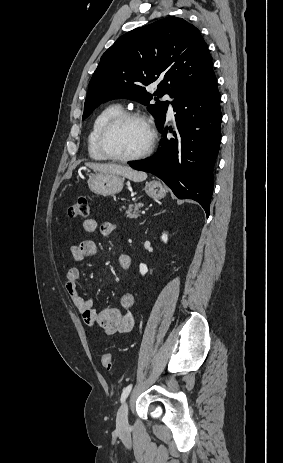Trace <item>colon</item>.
Listing matches in <instances>:
<instances>
[{
  "instance_id": "colon-1",
  "label": "colon",
  "mask_w": 283,
  "mask_h": 463,
  "mask_svg": "<svg viewBox=\"0 0 283 463\" xmlns=\"http://www.w3.org/2000/svg\"><path fill=\"white\" fill-rule=\"evenodd\" d=\"M90 206L85 198L77 199L67 210V215L72 219H85L89 216ZM102 365L105 369L110 370L113 366V356L110 352H105L101 357Z\"/></svg>"
}]
</instances>
